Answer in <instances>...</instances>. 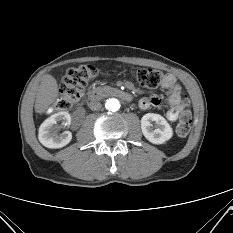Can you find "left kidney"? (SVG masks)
Masks as SVG:
<instances>
[{"label":"left kidney","instance_id":"obj_1","mask_svg":"<svg viewBox=\"0 0 233 233\" xmlns=\"http://www.w3.org/2000/svg\"><path fill=\"white\" fill-rule=\"evenodd\" d=\"M141 129L145 138L153 144H163L173 136L170 124L159 114H145L141 118Z\"/></svg>","mask_w":233,"mask_h":233}]
</instances>
